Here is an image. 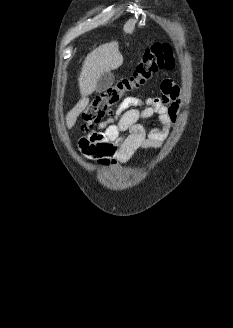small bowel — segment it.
Here are the masks:
<instances>
[{"mask_svg": "<svg viewBox=\"0 0 233 328\" xmlns=\"http://www.w3.org/2000/svg\"><path fill=\"white\" fill-rule=\"evenodd\" d=\"M161 90L159 97L125 98L112 121L80 139L79 149L90 157L111 160L118 167L142 149L160 147L162 134L155 128L147 132L141 121L152 117L162 122L173 121L181 103L180 89L172 80H164Z\"/></svg>", "mask_w": 233, "mask_h": 328, "instance_id": "c3829d8e", "label": "small bowel"}]
</instances>
